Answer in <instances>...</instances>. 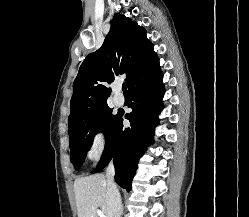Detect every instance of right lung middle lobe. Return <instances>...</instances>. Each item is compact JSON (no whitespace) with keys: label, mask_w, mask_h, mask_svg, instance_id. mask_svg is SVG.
Here are the masks:
<instances>
[{"label":"right lung middle lobe","mask_w":249,"mask_h":217,"mask_svg":"<svg viewBox=\"0 0 249 217\" xmlns=\"http://www.w3.org/2000/svg\"><path fill=\"white\" fill-rule=\"evenodd\" d=\"M118 116L104 103L69 119L70 160L76 169L83 164L95 134L102 131L107 138Z\"/></svg>","instance_id":"right-lung-middle-lobe-1"}]
</instances>
